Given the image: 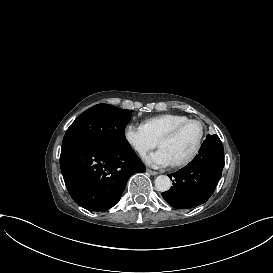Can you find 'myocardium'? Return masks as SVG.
I'll list each match as a JSON object with an SVG mask.
<instances>
[{
    "instance_id": "1",
    "label": "myocardium",
    "mask_w": 273,
    "mask_h": 273,
    "mask_svg": "<svg viewBox=\"0 0 273 273\" xmlns=\"http://www.w3.org/2000/svg\"><path fill=\"white\" fill-rule=\"evenodd\" d=\"M192 123H197L200 127V135H199L198 141L196 143L194 150L186 159L173 164L175 167L187 166L190 163H192L196 159V157L199 155V153L202 149V146H203L205 133H206V127H205L204 123L199 119H189V120L173 127L172 129H170L166 133H164L160 137V139L158 140V145L161 146V143L164 140L175 137L178 133H180L183 129H185L188 125H190Z\"/></svg>"
}]
</instances>
